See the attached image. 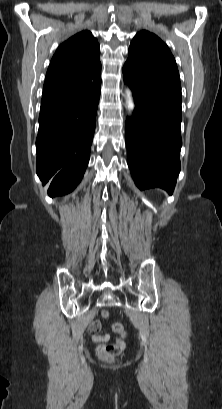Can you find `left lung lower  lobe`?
I'll use <instances>...</instances> for the list:
<instances>
[{
    "label": "left lung lower lobe",
    "instance_id": "1",
    "mask_svg": "<svg viewBox=\"0 0 222 409\" xmlns=\"http://www.w3.org/2000/svg\"><path fill=\"white\" fill-rule=\"evenodd\" d=\"M124 80L136 104L125 124L131 175L141 190L160 187L172 193L180 171L181 100L126 76Z\"/></svg>",
    "mask_w": 222,
    "mask_h": 409
}]
</instances>
